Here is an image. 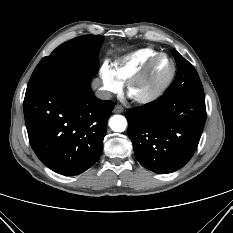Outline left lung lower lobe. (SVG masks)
<instances>
[{
	"mask_svg": "<svg viewBox=\"0 0 233 233\" xmlns=\"http://www.w3.org/2000/svg\"><path fill=\"white\" fill-rule=\"evenodd\" d=\"M136 159L145 168L167 174L193 156L206 120L205 97L163 95L126 114Z\"/></svg>",
	"mask_w": 233,
	"mask_h": 233,
	"instance_id": "0a47b994",
	"label": "left lung lower lobe"
}]
</instances>
